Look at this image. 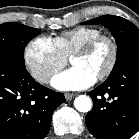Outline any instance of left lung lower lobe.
I'll return each mask as SVG.
<instances>
[{
	"label": "left lung lower lobe",
	"mask_w": 139,
	"mask_h": 139,
	"mask_svg": "<svg viewBox=\"0 0 139 139\" xmlns=\"http://www.w3.org/2000/svg\"><path fill=\"white\" fill-rule=\"evenodd\" d=\"M85 121L98 139H129L139 130V55L131 57L95 90Z\"/></svg>",
	"instance_id": "obj_1"
}]
</instances>
